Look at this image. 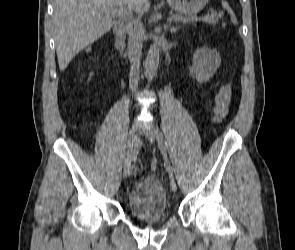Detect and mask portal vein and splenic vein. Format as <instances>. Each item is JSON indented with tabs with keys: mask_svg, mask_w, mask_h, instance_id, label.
Wrapping results in <instances>:
<instances>
[{
	"mask_svg": "<svg viewBox=\"0 0 295 250\" xmlns=\"http://www.w3.org/2000/svg\"><path fill=\"white\" fill-rule=\"evenodd\" d=\"M108 11L112 12V13H117V14H122L123 13V11H120V10H117V9H109ZM169 20L170 21H175V20H178V18L176 16H171V17H169ZM184 22H186V21H184Z\"/></svg>",
	"mask_w": 295,
	"mask_h": 250,
	"instance_id": "obj_1",
	"label": "portal vein and splenic vein"
}]
</instances>
